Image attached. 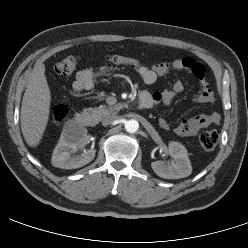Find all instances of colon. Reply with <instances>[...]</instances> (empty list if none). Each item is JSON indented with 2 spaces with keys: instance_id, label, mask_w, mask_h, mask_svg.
Here are the masks:
<instances>
[{
  "instance_id": "colon-1",
  "label": "colon",
  "mask_w": 248,
  "mask_h": 248,
  "mask_svg": "<svg viewBox=\"0 0 248 248\" xmlns=\"http://www.w3.org/2000/svg\"><path fill=\"white\" fill-rule=\"evenodd\" d=\"M107 59L112 63L126 65L134 69H138L144 65L140 60L134 57L112 51L108 52ZM78 63L79 58L77 56L69 55L56 63L54 70L60 76H70L76 70ZM67 114V107L63 104H58L53 109L52 119L54 123L59 124L65 120ZM219 137L220 135L217 130L206 131L200 136V145L205 151H212L217 146Z\"/></svg>"
}]
</instances>
